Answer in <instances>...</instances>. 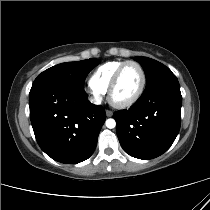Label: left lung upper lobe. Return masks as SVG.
Masks as SVG:
<instances>
[{"instance_id":"1","label":"left lung upper lobe","mask_w":210,"mask_h":210,"mask_svg":"<svg viewBox=\"0 0 210 210\" xmlns=\"http://www.w3.org/2000/svg\"><path fill=\"white\" fill-rule=\"evenodd\" d=\"M133 59L139 62L143 67L147 79L146 85L173 74L168 67L154 59L142 56L134 57Z\"/></svg>"}]
</instances>
